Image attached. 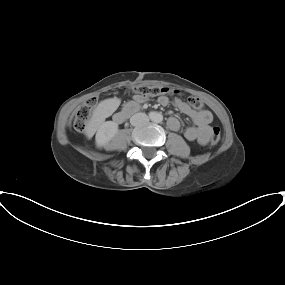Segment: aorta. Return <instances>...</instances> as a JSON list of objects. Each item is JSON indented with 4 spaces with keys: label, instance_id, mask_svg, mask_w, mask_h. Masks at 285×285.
<instances>
[{
    "label": "aorta",
    "instance_id": "762f6f07",
    "mask_svg": "<svg viewBox=\"0 0 285 285\" xmlns=\"http://www.w3.org/2000/svg\"><path fill=\"white\" fill-rule=\"evenodd\" d=\"M151 120L156 123H160L163 121V115L159 112H154L151 115Z\"/></svg>",
    "mask_w": 285,
    "mask_h": 285
}]
</instances>
